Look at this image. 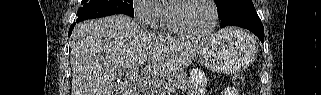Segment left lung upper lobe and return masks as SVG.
I'll list each match as a JSON object with an SVG mask.
<instances>
[{"mask_svg": "<svg viewBox=\"0 0 321 95\" xmlns=\"http://www.w3.org/2000/svg\"><path fill=\"white\" fill-rule=\"evenodd\" d=\"M218 10V17L220 18L226 11L234 5L246 0H214Z\"/></svg>", "mask_w": 321, "mask_h": 95, "instance_id": "5c2ea615", "label": "left lung upper lobe"}]
</instances>
